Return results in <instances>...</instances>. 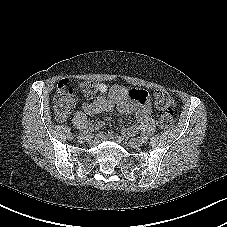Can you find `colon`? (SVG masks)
I'll list each match as a JSON object with an SVG mask.
<instances>
[{"label":"colon","instance_id":"obj_1","mask_svg":"<svg viewBox=\"0 0 227 227\" xmlns=\"http://www.w3.org/2000/svg\"><path fill=\"white\" fill-rule=\"evenodd\" d=\"M78 90L85 98H92L99 92L98 83L94 81L81 82ZM153 96L155 105L163 110V114L158 121L159 127L168 129L173 125L172 108L175 105L174 98L165 90H156ZM75 102L74 91L69 87L68 82H60L53 99L56 120L59 122L66 121L72 112Z\"/></svg>","mask_w":227,"mask_h":227}]
</instances>
